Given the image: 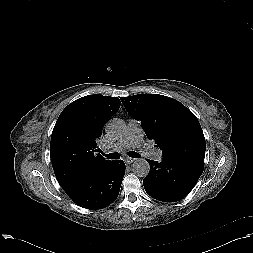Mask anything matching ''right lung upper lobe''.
Masks as SVG:
<instances>
[{
    "label": "right lung upper lobe",
    "instance_id": "1",
    "mask_svg": "<svg viewBox=\"0 0 253 253\" xmlns=\"http://www.w3.org/2000/svg\"><path fill=\"white\" fill-rule=\"evenodd\" d=\"M119 107V98L94 94L75 100L61 112L52 132L50 156L64 191L111 162L99 153L97 141Z\"/></svg>",
    "mask_w": 253,
    "mask_h": 253
}]
</instances>
